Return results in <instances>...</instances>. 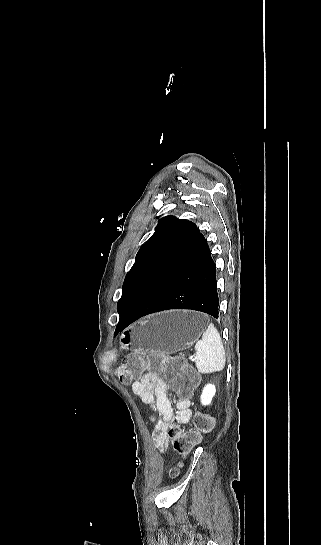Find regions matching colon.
<instances>
[{"label":"colon","mask_w":321,"mask_h":545,"mask_svg":"<svg viewBox=\"0 0 321 545\" xmlns=\"http://www.w3.org/2000/svg\"><path fill=\"white\" fill-rule=\"evenodd\" d=\"M117 373L123 383H130L141 374L170 377L174 391L183 398L191 395L197 383L195 372L182 358H166L157 353L129 356L118 367ZM211 428L212 419L205 416L197 417L194 430L181 431L177 426H171L168 436L173 450L179 455H186L199 443L202 433L209 432Z\"/></svg>","instance_id":"1"}]
</instances>
